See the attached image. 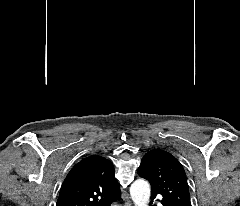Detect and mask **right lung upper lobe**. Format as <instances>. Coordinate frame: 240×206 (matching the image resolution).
<instances>
[{
    "label": "right lung upper lobe",
    "instance_id": "cb5924a9",
    "mask_svg": "<svg viewBox=\"0 0 240 206\" xmlns=\"http://www.w3.org/2000/svg\"><path fill=\"white\" fill-rule=\"evenodd\" d=\"M112 162L91 155L77 163L62 184L56 206H100L120 193Z\"/></svg>",
    "mask_w": 240,
    "mask_h": 206
}]
</instances>
